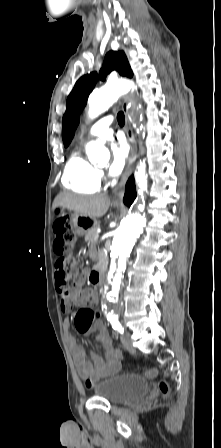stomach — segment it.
<instances>
[{"label":"stomach","instance_id":"1","mask_svg":"<svg viewBox=\"0 0 221 448\" xmlns=\"http://www.w3.org/2000/svg\"><path fill=\"white\" fill-rule=\"evenodd\" d=\"M71 223L75 228L77 235L82 236L85 235L88 231L96 226V222L86 216H83L79 213H74L71 216Z\"/></svg>","mask_w":221,"mask_h":448}]
</instances>
